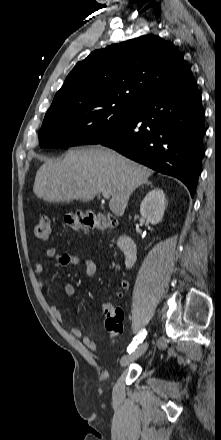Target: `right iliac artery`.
Here are the masks:
<instances>
[{"label": "right iliac artery", "mask_w": 221, "mask_h": 440, "mask_svg": "<svg viewBox=\"0 0 221 440\" xmlns=\"http://www.w3.org/2000/svg\"><path fill=\"white\" fill-rule=\"evenodd\" d=\"M147 335V331L144 329L137 336L134 337L132 344L128 347L127 351L131 353L134 351L139 343H142Z\"/></svg>", "instance_id": "82829eb1"}]
</instances>
